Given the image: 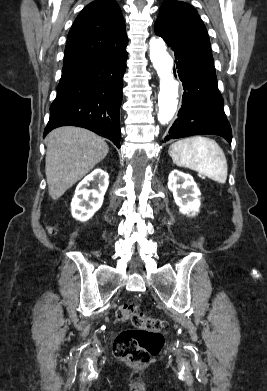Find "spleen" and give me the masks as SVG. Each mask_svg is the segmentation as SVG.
I'll return each mask as SVG.
<instances>
[{"instance_id":"obj_1","label":"spleen","mask_w":267,"mask_h":391,"mask_svg":"<svg viewBox=\"0 0 267 391\" xmlns=\"http://www.w3.org/2000/svg\"><path fill=\"white\" fill-rule=\"evenodd\" d=\"M168 152L176 165L195 170L220 184L226 183V157L214 140L202 136L185 138L173 143Z\"/></svg>"}]
</instances>
